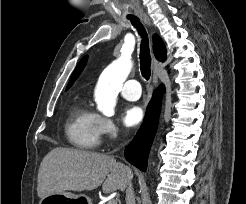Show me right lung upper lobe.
<instances>
[{
    "label": "right lung upper lobe",
    "mask_w": 246,
    "mask_h": 204,
    "mask_svg": "<svg viewBox=\"0 0 246 204\" xmlns=\"http://www.w3.org/2000/svg\"><path fill=\"white\" fill-rule=\"evenodd\" d=\"M153 50H154V54H155L156 58L159 61H164L165 60V57H166L165 45H164L163 41L161 40V38L158 35H156V34L153 36ZM86 61H87V56H85V57H83L81 59V61L79 62V64L77 65V67L75 68L74 72L71 75V78H70L69 84L67 86V89L70 86H72L74 81L81 74V72L84 69Z\"/></svg>",
    "instance_id": "right-lung-upper-lobe-1"
}]
</instances>
